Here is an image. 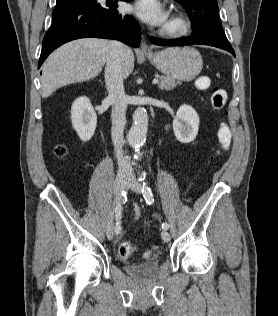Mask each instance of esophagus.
Listing matches in <instances>:
<instances>
[{"label":"esophagus","mask_w":278,"mask_h":316,"mask_svg":"<svg viewBox=\"0 0 278 316\" xmlns=\"http://www.w3.org/2000/svg\"><path fill=\"white\" fill-rule=\"evenodd\" d=\"M140 51L144 54H151V49L143 39L141 41Z\"/></svg>","instance_id":"obj_1"}]
</instances>
